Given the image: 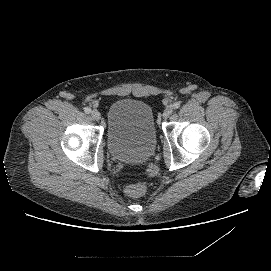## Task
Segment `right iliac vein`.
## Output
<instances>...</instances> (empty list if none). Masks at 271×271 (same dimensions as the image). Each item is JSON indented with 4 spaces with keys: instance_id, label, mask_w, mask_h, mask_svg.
<instances>
[{
    "instance_id": "obj_1",
    "label": "right iliac vein",
    "mask_w": 271,
    "mask_h": 271,
    "mask_svg": "<svg viewBox=\"0 0 271 271\" xmlns=\"http://www.w3.org/2000/svg\"><path fill=\"white\" fill-rule=\"evenodd\" d=\"M91 116H92L93 119H95L97 121H99L101 119V114H100V112L98 110H93L91 112Z\"/></svg>"
}]
</instances>
